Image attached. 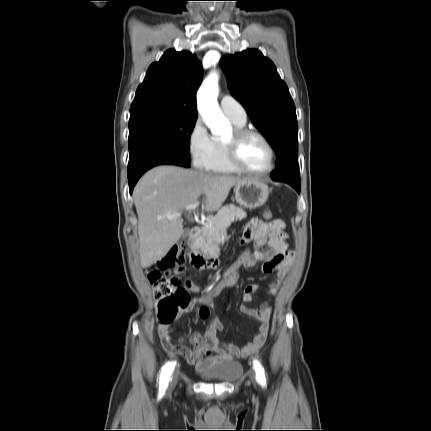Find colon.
<instances>
[{
    "label": "colon",
    "instance_id": "1",
    "mask_svg": "<svg viewBox=\"0 0 431 431\" xmlns=\"http://www.w3.org/2000/svg\"><path fill=\"white\" fill-rule=\"evenodd\" d=\"M266 218L271 217V211H264ZM250 248H245L235 260L225 266L228 271L223 269V277H218L216 285L211 289L206 290V295L198 296L194 302H190V295L186 285H182L181 279L177 275L170 274L171 270L177 273L184 271L187 252L185 249L174 247L165 257L157 262V265L148 273V279L153 285L154 294L157 301L158 317L162 322H170L182 311L190 314L193 309L208 306V308L216 301V297H222L227 290L233 289L237 284L238 279L234 273H240L243 270L244 261L250 256ZM202 322H208L211 316L205 309L198 312Z\"/></svg>",
    "mask_w": 431,
    "mask_h": 431
}]
</instances>
